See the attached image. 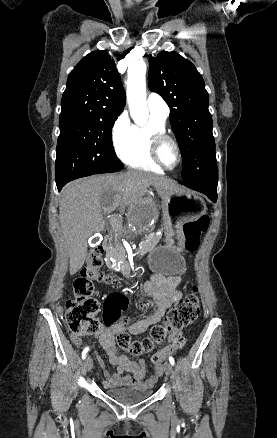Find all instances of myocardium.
Segmentation results:
<instances>
[{
    "label": "myocardium",
    "instance_id": "f54148a6",
    "mask_svg": "<svg viewBox=\"0 0 277 438\" xmlns=\"http://www.w3.org/2000/svg\"><path fill=\"white\" fill-rule=\"evenodd\" d=\"M148 140H149V147H150L152 159L161 169L166 171H172L176 167H178L181 161L182 151L179 142L174 137L166 134L165 132L152 131L149 133ZM167 142H170L174 145L177 155L176 162L171 167L167 166L161 158V149L163 145Z\"/></svg>",
    "mask_w": 277,
    "mask_h": 438
}]
</instances>
